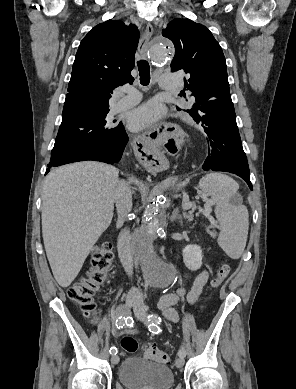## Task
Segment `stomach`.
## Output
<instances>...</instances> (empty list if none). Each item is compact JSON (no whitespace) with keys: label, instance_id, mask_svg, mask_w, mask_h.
I'll use <instances>...</instances> for the list:
<instances>
[{"label":"stomach","instance_id":"1","mask_svg":"<svg viewBox=\"0 0 296 389\" xmlns=\"http://www.w3.org/2000/svg\"><path fill=\"white\" fill-rule=\"evenodd\" d=\"M150 173L153 176H158L161 173V169H150Z\"/></svg>","mask_w":296,"mask_h":389}]
</instances>
